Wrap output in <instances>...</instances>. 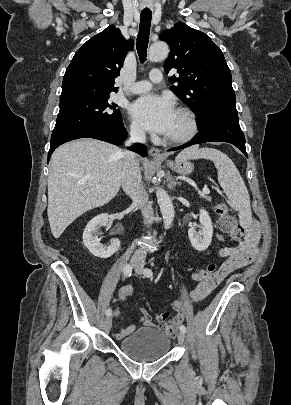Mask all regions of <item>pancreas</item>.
<instances>
[{
  "label": "pancreas",
  "instance_id": "pancreas-1",
  "mask_svg": "<svg viewBox=\"0 0 291 405\" xmlns=\"http://www.w3.org/2000/svg\"><path fill=\"white\" fill-rule=\"evenodd\" d=\"M200 197H201L202 199L206 200V201H209V202L211 201V198H210L209 196L205 195V194H204V195L201 194Z\"/></svg>",
  "mask_w": 291,
  "mask_h": 405
}]
</instances>
